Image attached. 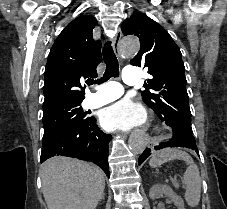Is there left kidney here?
<instances>
[{"mask_svg":"<svg viewBox=\"0 0 227 209\" xmlns=\"http://www.w3.org/2000/svg\"><path fill=\"white\" fill-rule=\"evenodd\" d=\"M161 195H165V197H169L171 201H173L176 209H184V201L181 197H178L174 191H172L171 187L168 185H153L152 189H150L149 197L150 199H158Z\"/></svg>","mask_w":227,"mask_h":209,"instance_id":"left-kidney-1","label":"left kidney"}]
</instances>
